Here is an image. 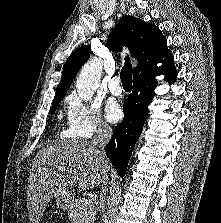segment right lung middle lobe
<instances>
[{
  "instance_id": "1",
  "label": "right lung middle lobe",
  "mask_w": 221,
  "mask_h": 223,
  "mask_svg": "<svg viewBox=\"0 0 221 223\" xmlns=\"http://www.w3.org/2000/svg\"><path fill=\"white\" fill-rule=\"evenodd\" d=\"M63 98L54 99L52 103L51 114H53L56 110L57 105L62 101Z\"/></svg>"
}]
</instances>
